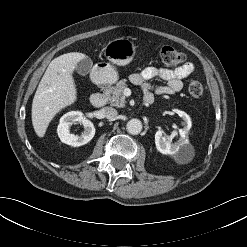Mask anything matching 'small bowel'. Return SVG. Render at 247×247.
Returning a JSON list of instances; mask_svg holds the SVG:
<instances>
[{
    "mask_svg": "<svg viewBox=\"0 0 247 247\" xmlns=\"http://www.w3.org/2000/svg\"><path fill=\"white\" fill-rule=\"evenodd\" d=\"M194 70L195 66L192 62H185L174 69L150 66L139 73L132 74L130 80L133 84L141 86L144 92V98L150 97L154 99V93L157 95H169L180 91L183 87V81L187 79ZM154 78H160L166 84L153 89L148 81Z\"/></svg>",
    "mask_w": 247,
    "mask_h": 247,
    "instance_id": "c3829d8e",
    "label": "small bowel"
}]
</instances>
